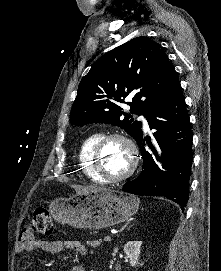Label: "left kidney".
I'll return each mask as SVG.
<instances>
[{"label":"left kidney","instance_id":"obj_1","mask_svg":"<svg viewBox=\"0 0 221 271\" xmlns=\"http://www.w3.org/2000/svg\"><path fill=\"white\" fill-rule=\"evenodd\" d=\"M141 245L142 241H127L124 245V253L129 257V263L132 267L139 263Z\"/></svg>","mask_w":221,"mask_h":271}]
</instances>
